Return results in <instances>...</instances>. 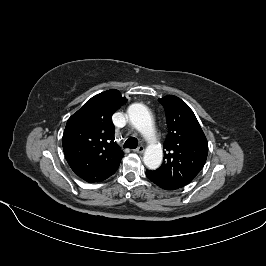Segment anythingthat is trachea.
Here are the masks:
<instances>
[{
	"instance_id": "3493384b",
	"label": "trachea",
	"mask_w": 266,
	"mask_h": 266,
	"mask_svg": "<svg viewBox=\"0 0 266 266\" xmlns=\"http://www.w3.org/2000/svg\"><path fill=\"white\" fill-rule=\"evenodd\" d=\"M138 146V141L135 138H129L124 143L125 148L135 149Z\"/></svg>"
}]
</instances>
